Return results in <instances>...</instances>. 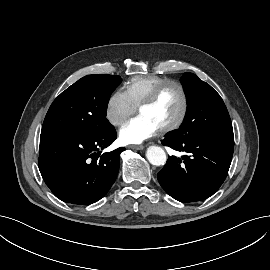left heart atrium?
I'll use <instances>...</instances> for the list:
<instances>
[{"mask_svg":"<svg viewBox=\"0 0 270 270\" xmlns=\"http://www.w3.org/2000/svg\"><path fill=\"white\" fill-rule=\"evenodd\" d=\"M158 131L159 128L153 121L140 114L122 125L119 130V140L122 144H140Z\"/></svg>","mask_w":270,"mask_h":270,"instance_id":"39dd6f15","label":"left heart atrium"}]
</instances>
